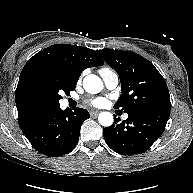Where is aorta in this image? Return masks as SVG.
Returning <instances> with one entry per match:
<instances>
[{"mask_svg": "<svg viewBox=\"0 0 193 193\" xmlns=\"http://www.w3.org/2000/svg\"><path fill=\"white\" fill-rule=\"evenodd\" d=\"M83 88L88 93L96 94L102 90L103 82L97 75L90 74L83 79ZM98 121L102 126L109 127L113 124V115L110 112H102Z\"/></svg>", "mask_w": 193, "mask_h": 193, "instance_id": "obj_1", "label": "aorta"}]
</instances>
